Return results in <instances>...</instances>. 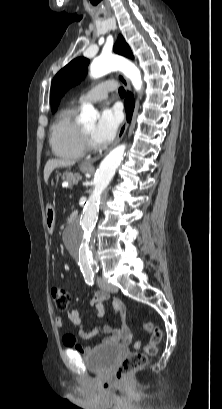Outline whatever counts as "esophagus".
<instances>
[{"label":"esophagus","instance_id":"34e87169","mask_svg":"<svg viewBox=\"0 0 222 409\" xmlns=\"http://www.w3.org/2000/svg\"><path fill=\"white\" fill-rule=\"evenodd\" d=\"M117 78L118 80L122 83V85L124 86L126 91H130L131 90V86L129 81L121 74L118 73L117 74ZM128 127V122L125 119L124 122L121 124L117 137L115 139V141L113 142V144L104 152V154L108 153L114 146H116L123 138V136L125 135V132L127 130ZM103 156L102 153L98 154L97 156L93 157V158H88L85 161H83V165L88 167V168H92L94 162H96L97 160H99L101 157Z\"/></svg>","mask_w":222,"mask_h":409}]
</instances>
